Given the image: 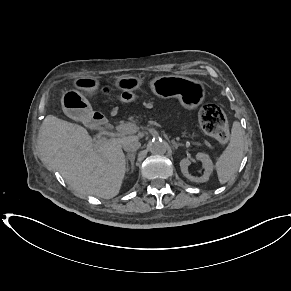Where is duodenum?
Returning a JSON list of instances; mask_svg holds the SVG:
<instances>
[{
    "instance_id": "1",
    "label": "duodenum",
    "mask_w": 291,
    "mask_h": 291,
    "mask_svg": "<svg viewBox=\"0 0 291 291\" xmlns=\"http://www.w3.org/2000/svg\"><path fill=\"white\" fill-rule=\"evenodd\" d=\"M89 124L94 129H106L110 126V123L106 117L97 111L91 113Z\"/></svg>"
}]
</instances>
